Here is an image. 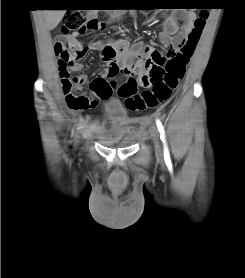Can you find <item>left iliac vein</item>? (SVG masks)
Returning <instances> with one entry per match:
<instances>
[{"instance_id":"left-iliac-vein-1","label":"left iliac vein","mask_w":245,"mask_h":278,"mask_svg":"<svg viewBox=\"0 0 245 278\" xmlns=\"http://www.w3.org/2000/svg\"><path fill=\"white\" fill-rule=\"evenodd\" d=\"M151 136H152L156 156L159 159H163V152H162V147H161L160 134H159V132L156 128H152Z\"/></svg>"}]
</instances>
